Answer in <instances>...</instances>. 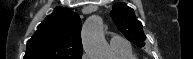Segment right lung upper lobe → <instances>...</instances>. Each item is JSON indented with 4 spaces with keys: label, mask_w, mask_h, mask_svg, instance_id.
<instances>
[{
    "label": "right lung upper lobe",
    "mask_w": 193,
    "mask_h": 59,
    "mask_svg": "<svg viewBox=\"0 0 193 59\" xmlns=\"http://www.w3.org/2000/svg\"><path fill=\"white\" fill-rule=\"evenodd\" d=\"M80 32L78 14L71 9L57 7L28 40L23 59H81Z\"/></svg>",
    "instance_id": "cb5924a9"
}]
</instances>
